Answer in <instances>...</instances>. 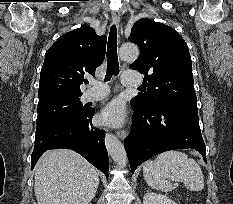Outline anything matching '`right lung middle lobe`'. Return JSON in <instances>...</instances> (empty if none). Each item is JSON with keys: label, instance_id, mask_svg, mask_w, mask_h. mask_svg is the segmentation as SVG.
I'll use <instances>...</instances> for the list:
<instances>
[{"label": "right lung middle lobe", "instance_id": "1", "mask_svg": "<svg viewBox=\"0 0 233 204\" xmlns=\"http://www.w3.org/2000/svg\"><path fill=\"white\" fill-rule=\"evenodd\" d=\"M79 97L80 95L60 96L39 102L36 133L63 121H72L86 113L89 108L83 106Z\"/></svg>", "mask_w": 233, "mask_h": 204}]
</instances>
